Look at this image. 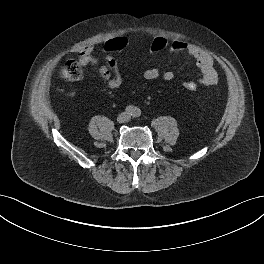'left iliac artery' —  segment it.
Returning <instances> with one entry per match:
<instances>
[{
  "mask_svg": "<svg viewBox=\"0 0 264 264\" xmlns=\"http://www.w3.org/2000/svg\"><path fill=\"white\" fill-rule=\"evenodd\" d=\"M140 114H141V111H140V109H138V108H135V110H134V113H133L134 117H139V116H140Z\"/></svg>",
  "mask_w": 264,
  "mask_h": 264,
  "instance_id": "1",
  "label": "left iliac artery"
}]
</instances>
